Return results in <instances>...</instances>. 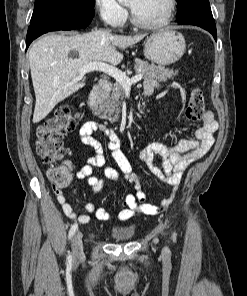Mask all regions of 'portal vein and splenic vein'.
<instances>
[{"mask_svg": "<svg viewBox=\"0 0 247 296\" xmlns=\"http://www.w3.org/2000/svg\"><path fill=\"white\" fill-rule=\"evenodd\" d=\"M90 71H101L110 75L117 81V83L121 84L124 89H130L133 83H136L143 78L142 74L129 78L125 72L104 62H90L78 70L81 76Z\"/></svg>", "mask_w": 247, "mask_h": 296, "instance_id": "portal-vein-and-splenic-vein-1", "label": "portal vein and splenic vein"}]
</instances>
